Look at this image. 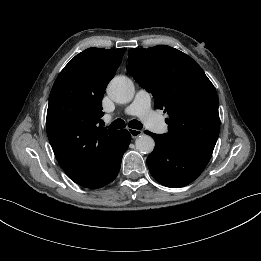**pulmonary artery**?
<instances>
[{
	"mask_svg": "<svg viewBox=\"0 0 261 261\" xmlns=\"http://www.w3.org/2000/svg\"><path fill=\"white\" fill-rule=\"evenodd\" d=\"M125 114L138 116L154 131L164 130L163 122L151 109V95L145 89L137 91L133 102L125 108Z\"/></svg>",
	"mask_w": 261,
	"mask_h": 261,
	"instance_id": "obj_1",
	"label": "pulmonary artery"
}]
</instances>
